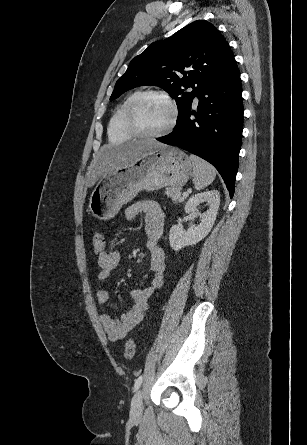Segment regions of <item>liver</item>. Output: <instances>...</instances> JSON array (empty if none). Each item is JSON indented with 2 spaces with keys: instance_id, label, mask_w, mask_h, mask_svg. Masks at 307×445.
I'll list each match as a JSON object with an SVG mask.
<instances>
[{
  "instance_id": "1",
  "label": "liver",
  "mask_w": 307,
  "mask_h": 445,
  "mask_svg": "<svg viewBox=\"0 0 307 445\" xmlns=\"http://www.w3.org/2000/svg\"><path fill=\"white\" fill-rule=\"evenodd\" d=\"M158 146H168V144H162V142H144V140H137L134 144H126V146H110V144H104L97 154V160L93 162V166H89L88 168V186H94L100 176L111 172L114 168L130 166L141 154H145L147 150L158 148Z\"/></svg>"
}]
</instances>
